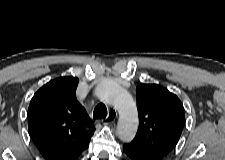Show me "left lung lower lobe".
Masks as SVG:
<instances>
[{
    "label": "left lung lower lobe",
    "mask_w": 225,
    "mask_h": 160,
    "mask_svg": "<svg viewBox=\"0 0 225 160\" xmlns=\"http://www.w3.org/2000/svg\"><path fill=\"white\" fill-rule=\"evenodd\" d=\"M123 152L126 155L128 160H148L147 158L137 154L136 152L132 151L126 145L123 146Z\"/></svg>",
    "instance_id": "left-lung-lower-lobe-1"
}]
</instances>
